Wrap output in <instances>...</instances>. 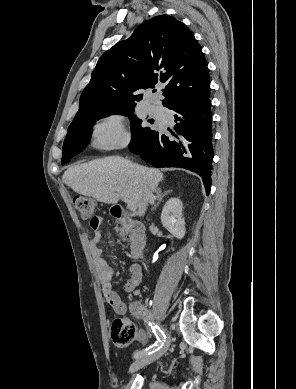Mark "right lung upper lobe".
Wrapping results in <instances>:
<instances>
[{
	"mask_svg": "<svg viewBox=\"0 0 296 389\" xmlns=\"http://www.w3.org/2000/svg\"><path fill=\"white\" fill-rule=\"evenodd\" d=\"M165 83L163 105L209 91L207 62L186 25L168 15L141 24L99 59L80 97L75 117L95 108L134 106L141 89Z\"/></svg>",
	"mask_w": 296,
	"mask_h": 389,
	"instance_id": "1",
	"label": "right lung upper lobe"
}]
</instances>
